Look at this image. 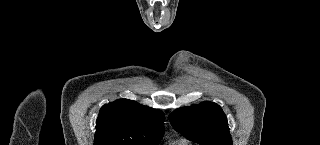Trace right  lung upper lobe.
<instances>
[{
  "label": "right lung upper lobe",
  "mask_w": 320,
  "mask_h": 145,
  "mask_svg": "<svg viewBox=\"0 0 320 145\" xmlns=\"http://www.w3.org/2000/svg\"><path fill=\"white\" fill-rule=\"evenodd\" d=\"M164 113L120 99L100 109L94 145H156L163 137Z\"/></svg>",
  "instance_id": "right-lung-upper-lobe-1"
}]
</instances>
